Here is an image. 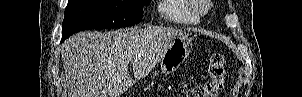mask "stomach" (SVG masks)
Masks as SVG:
<instances>
[{
    "label": "stomach",
    "instance_id": "obj_1",
    "mask_svg": "<svg viewBox=\"0 0 302 97\" xmlns=\"http://www.w3.org/2000/svg\"><path fill=\"white\" fill-rule=\"evenodd\" d=\"M192 46V39L187 34L175 37L160 57V71H155L152 79L159 74H170L176 71L189 56Z\"/></svg>",
    "mask_w": 302,
    "mask_h": 97
}]
</instances>
